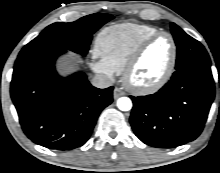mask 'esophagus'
<instances>
[{
    "label": "esophagus",
    "mask_w": 220,
    "mask_h": 173,
    "mask_svg": "<svg viewBox=\"0 0 220 173\" xmlns=\"http://www.w3.org/2000/svg\"><path fill=\"white\" fill-rule=\"evenodd\" d=\"M125 95V92L119 88V87H115L114 91H113V97L114 99H118L119 97Z\"/></svg>",
    "instance_id": "obj_1"
}]
</instances>
